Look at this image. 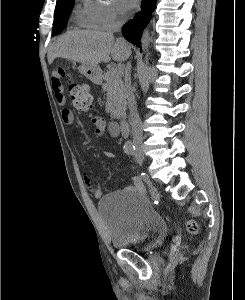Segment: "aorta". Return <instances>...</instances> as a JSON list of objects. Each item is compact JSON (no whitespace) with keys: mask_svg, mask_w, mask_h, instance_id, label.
<instances>
[{"mask_svg":"<svg viewBox=\"0 0 245 300\" xmlns=\"http://www.w3.org/2000/svg\"><path fill=\"white\" fill-rule=\"evenodd\" d=\"M142 45H143V50L144 52L148 51V47H149V44H150V35H149V32L148 31H144L143 35H142ZM127 145H130V143H127Z\"/></svg>","mask_w":245,"mask_h":300,"instance_id":"762f6f07","label":"aorta"}]
</instances>
